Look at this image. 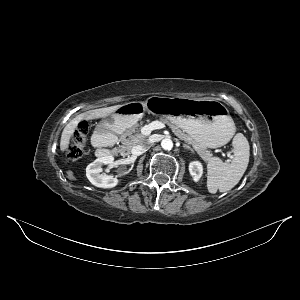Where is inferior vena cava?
I'll return each instance as SVG.
<instances>
[{"instance_id":"602c4592","label":"inferior vena cava","mask_w":300,"mask_h":300,"mask_svg":"<svg viewBox=\"0 0 300 300\" xmlns=\"http://www.w3.org/2000/svg\"><path fill=\"white\" fill-rule=\"evenodd\" d=\"M151 143L149 140H144L140 144L134 146L131 150L133 155H140L147 151Z\"/></svg>"}]
</instances>
